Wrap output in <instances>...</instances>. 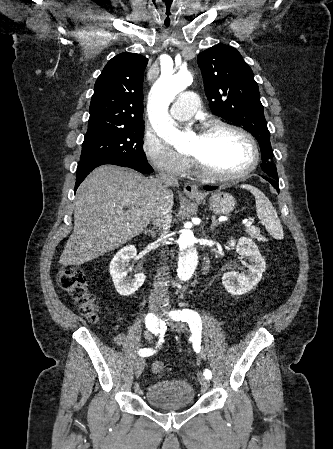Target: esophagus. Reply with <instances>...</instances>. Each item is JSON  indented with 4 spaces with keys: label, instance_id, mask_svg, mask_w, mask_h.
Listing matches in <instances>:
<instances>
[{
    "label": "esophagus",
    "instance_id": "esophagus-1",
    "mask_svg": "<svg viewBox=\"0 0 333 449\" xmlns=\"http://www.w3.org/2000/svg\"><path fill=\"white\" fill-rule=\"evenodd\" d=\"M184 192L189 197H200L201 193L198 190V187L196 185L186 183L184 185Z\"/></svg>",
    "mask_w": 333,
    "mask_h": 449
}]
</instances>
